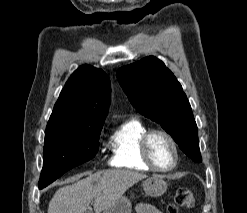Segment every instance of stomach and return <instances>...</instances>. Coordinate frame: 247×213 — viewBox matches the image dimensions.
<instances>
[{"label": "stomach", "instance_id": "1", "mask_svg": "<svg viewBox=\"0 0 247 213\" xmlns=\"http://www.w3.org/2000/svg\"><path fill=\"white\" fill-rule=\"evenodd\" d=\"M146 195L151 197H159L163 195L168 187V184L157 175H154L142 184ZM132 205L128 198L122 197L115 204L105 209L103 213H131Z\"/></svg>", "mask_w": 247, "mask_h": 213}]
</instances>
